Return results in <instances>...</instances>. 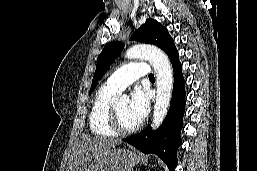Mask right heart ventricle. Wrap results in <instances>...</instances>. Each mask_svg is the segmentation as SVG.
<instances>
[{
  "instance_id": "1",
  "label": "right heart ventricle",
  "mask_w": 257,
  "mask_h": 171,
  "mask_svg": "<svg viewBox=\"0 0 257 171\" xmlns=\"http://www.w3.org/2000/svg\"><path fill=\"white\" fill-rule=\"evenodd\" d=\"M119 93L107 84L102 85L94 95L88 122L91 132L97 136L113 137L116 132L111 128L109 122L110 105L114 97Z\"/></svg>"
}]
</instances>
